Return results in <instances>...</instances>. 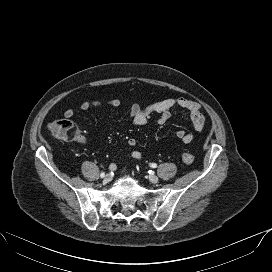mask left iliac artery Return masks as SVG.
<instances>
[{"label": "left iliac artery", "mask_w": 272, "mask_h": 272, "mask_svg": "<svg viewBox=\"0 0 272 272\" xmlns=\"http://www.w3.org/2000/svg\"><path fill=\"white\" fill-rule=\"evenodd\" d=\"M150 167L156 168V167H157V164H156V163H151V164H150Z\"/></svg>", "instance_id": "44dca946"}]
</instances>
